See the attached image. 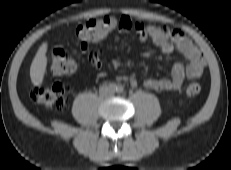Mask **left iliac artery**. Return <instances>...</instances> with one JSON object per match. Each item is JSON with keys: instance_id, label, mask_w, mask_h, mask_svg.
Here are the masks:
<instances>
[{"instance_id": "44dca946", "label": "left iliac artery", "mask_w": 231, "mask_h": 170, "mask_svg": "<svg viewBox=\"0 0 231 170\" xmlns=\"http://www.w3.org/2000/svg\"><path fill=\"white\" fill-rule=\"evenodd\" d=\"M117 92L122 93L124 91V87L122 85L117 86Z\"/></svg>"}]
</instances>
